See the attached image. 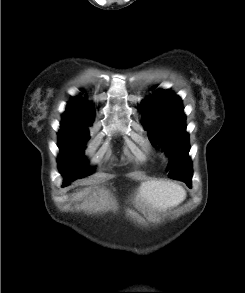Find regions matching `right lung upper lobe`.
Returning a JSON list of instances; mask_svg holds the SVG:
<instances>
[{
    "label": "right lung upper lobe",
    "instance_id": "1",
    "mask_svg": "<svg viewBox=\"0 0 245 293\" xmlns=\"http://www.w3.org/2000/svg\"><path fill=\"white\" fill-rule=\"evenodd\" d=\"M94 107L91 102L75 98L68 103L66 112L62 117L63 127H84L93 123Z\"/></svg>",
    "mask_w": 245,
    "mask_h": 293
}]
</instances>
